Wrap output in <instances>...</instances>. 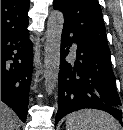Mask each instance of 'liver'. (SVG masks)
<instances>
[{
	"instance_id": "liver-1",
	"label": "liver",
	"mask_w": 123,
	"mask_h": 130,
	"mask_svg": "<svg viewBox=\"0 0 123 130\" xmlns=\"http://www.w3.org/2000/svg\"><path fill=\"white\" fill-rule=\"evenodd\" d=\"M20 121L14 111L1 102V130H19Z\"/></svg>"
}]
</instances>
